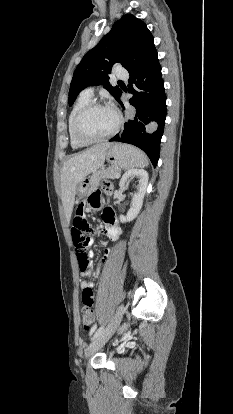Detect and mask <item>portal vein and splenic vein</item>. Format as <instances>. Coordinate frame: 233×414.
<instances>
[{"label":"portal vein and splenic vein","mask_w":233,"mask_h":414,"mask_svg":"<svg viewBox=\"0 0 233 414\" xmlns=\"http://www.w3.org/2000/svg\"><path fill=\"white\" fill-rule=\"evenodd\" d=\"M120 177V175H117V178H119Z\"/></svg>","instance_id":"1"}]
</instances>
